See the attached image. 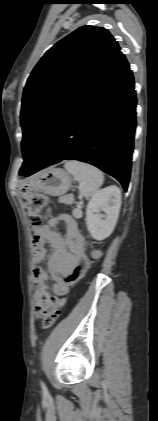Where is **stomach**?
<instances>
[{
  "label": "stomach",
  "mask_w": 158,
  "mask_h": 421,
  "mask_svg": "<svg viewBox=\"0 0 158 421\" xmlns=\"http://www.w3.org/2000/svg\"><path fill=\"white\" fill-rule=\"evenodd\" d=\"M72 179L67 172L58 168H49L33 177L22 187V195L41 192L51 196H61L71 187Z\"/></svg>",
  "instance_id": "0dacf381"
}]
</instances>
